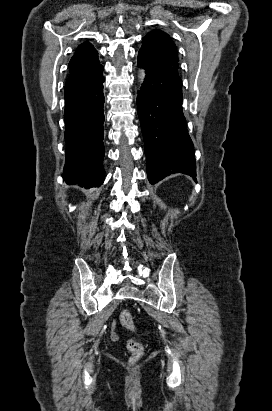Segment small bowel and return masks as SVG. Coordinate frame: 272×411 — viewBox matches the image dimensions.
<instances>
[{
  "label": "small bowel",
  "instance_id": "small-bowel-1",
  "mask_svg": "<svg viewBox=\"0 0 272 411\" xmlns=\"http://www.w3.org/2000/svg\"><path fill=\"white\" fill-rule=\"evenodd\" d=\"M114 329H115V322L112 323L111 338H112L113 341H117L118 340V335L115 333Z\"/></svg>",
  "mask_w": 272,
  "mask_h": 411
}]
</instances>
